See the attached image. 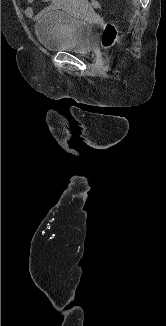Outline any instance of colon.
<instances>
[{
	"label": "colon",
	"instance_id": "obj_1",
	"mask_svg": "<svg viewBox=\"0 0 166 326\" xmlns=\"http://www.w3.org/2000/svg\"><path fill=\"white\" fill-rule=\"evenodd\" d=\"M92 6L94 8H99L100 4L98 0H91ZM117 39V28L112 23H108L101 35V43L104 48L111 47Z\"/></svg>",
	"mask_w": 166,
	"mask_h": 326
}]
</instances>
